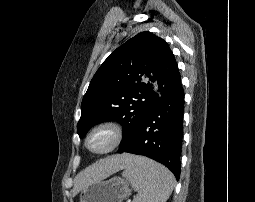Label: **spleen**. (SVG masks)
<instances>
[{"mask_svg":"<svg viewBox=\"0 0 255 202\" xmlns=\"http://www.w3.org/2000/svg\"><path fill=\"white\" fill-rule=\"evenodd\" d=\"M138 194L133 202H166L174 186V175L163 165L145 157H135L123 173Z\"/></svg>","mask_w":255,"mask_h":202,"instance_id":"3e777b00","label":"spleen"}]
</instances>
